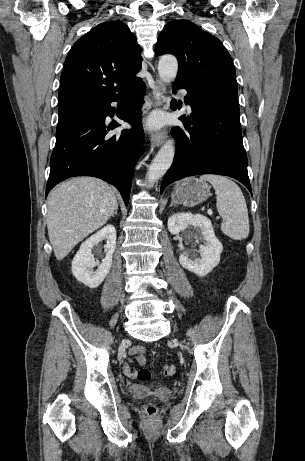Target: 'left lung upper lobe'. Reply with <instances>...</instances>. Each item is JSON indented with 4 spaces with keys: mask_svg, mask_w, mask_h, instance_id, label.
Listing matches in <instances>:
<instances>
[{
    "mask_svg": "<svg viewBox=\"0 0 305 461\" xmlns=\"http://www.w3.org/2000/svg\"><path fill=\"white\" fill-rule=\"evenodd\" d=\"M158 55L173 54L179 62L175 83L185 87L237 89L231 56L219 39L188 20H172L156 43Z\"/></svg>",
    "mask_w": 305,
    "mask_h": 461,
    "instance_id": "left-lung-upper-lobe-1",
    "label": "left lung upper lobe"
}]
</instances>
